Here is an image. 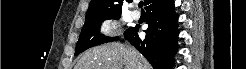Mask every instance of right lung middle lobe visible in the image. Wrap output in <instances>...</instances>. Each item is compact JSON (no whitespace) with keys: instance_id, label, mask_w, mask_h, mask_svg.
Listing matches in <instances>:
<instances>
[{"instance_id":"obj_1","label":"right lung middle lobe","mask_w":246,"mask_h":69,"mask_svg":"<svg viewBox=\"0 0 246 69\" xmlns=\"http://www.w3.org/2000/svg\"><path fill=\"white\" fill-rule=\"evenodd\" d=\"M121 15L108 16L98 20L85 21L79 40L76 45L75 55L87 50L90 47L103 43L116 41L118 37H107L100 34L101 23L106 19H119Z\"/></svg>"}]
</instances>
